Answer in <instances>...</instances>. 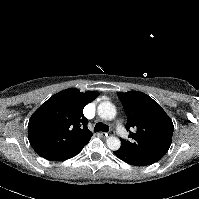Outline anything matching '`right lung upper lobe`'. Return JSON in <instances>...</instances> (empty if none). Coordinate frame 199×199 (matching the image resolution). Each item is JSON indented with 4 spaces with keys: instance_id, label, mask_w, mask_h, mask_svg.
Wrapping results in <instances>:
<instances>
[{
    "instance_id": "1",
    "label": "right lung upper lobe",
    "mask_w": 199,
    "mask_h": 199,
    "mask_svg": "<svg viewBox=\"0 0 199 199\" xmlns=\"http://www.w3.org/2000/svg\"><path fill=\"white\" fill-rule=\"evenodd\" d=\"M97 96L98 92L71 88L50 97L29 119L28 139L33 149L42 157L52 156L90 140L92 132L83 108Z\"/></svg>"
}]
</instances>
